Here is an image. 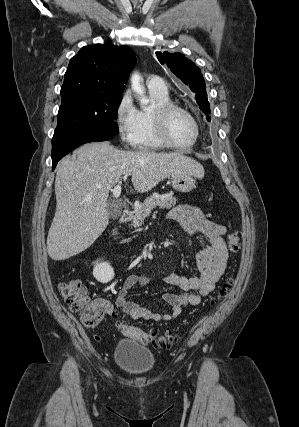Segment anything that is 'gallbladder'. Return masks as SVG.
<instances>
[{
	"label": "gallbladder",
	"mask_w": 299,
	"mask_h": 427,
	"mask_svg": "<svg viewBox=\"0 0 299 427\" xmlns=\"http://www.w3.org/2000/svg\"><path fill=\"white\" fill-rule=\"evenodd\" d=\"M122 209L119 203H113L108 205V215L112 219H117L121 216Z\"/></svg>",
	"instance_id": "1"
}]
</instances>
